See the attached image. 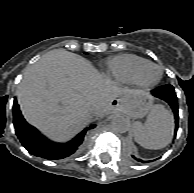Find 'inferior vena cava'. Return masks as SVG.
<instances>
[{
    "mask_svg": "<svg viewBox=\"0 0 194 193\" xmlns=\"http://www.w3.org/2000/svg\"><path fill=\"white\" fill-rule=\"evenodd\" d=\"M89 111L91 113H96L98 111V104L96 102H93L89 105Z\"/></svg>",
    "mask_w": 194,
    "mask_h": 193,
    "instance_id": "602c4592",
    "label": "inferior vena cava"
}]
</instances>
